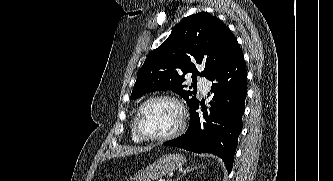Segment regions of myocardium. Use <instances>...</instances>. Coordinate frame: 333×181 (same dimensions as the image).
Listing matches in <instances>:
<instances>
[{"label":"myocardium","instance_id":"myocardium-1","mask_svg":"<svg viewBox=\"0 0 333 181\" xmlns=\"http://www.w3.org/2000/svg\"><path fill=\"white\" fill-rule=\"evenodd\" d=\"M157 100H168L173 102L174 104L177 105L179 112H180V120H179V124L178 126L170 133L162 135V136H150L148 134H146L141 126H140V118L141 115L144 111V109L152 102L157 101ZM186 125V109L185 106L183 105V103L181 102V100L173 95H169V94H159V95H155L152 96L150 98H148L147 100H145L138 108L135 116H134V121H133V127L135 132L137 133V135L142 138L143 140L146 141H153V142H163V141H168L171 140L177 136H179Z\"/></svg>","mask_w":333,"mask_h":181}]
</instances>
